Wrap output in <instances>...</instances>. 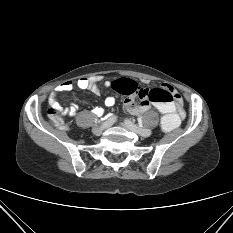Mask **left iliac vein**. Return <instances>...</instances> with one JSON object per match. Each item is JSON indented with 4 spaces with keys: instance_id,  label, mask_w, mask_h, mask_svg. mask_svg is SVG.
Here are the masks:
<instances>
[{
    "instance_id": "4c4485c4",
    "label": "left iliac vein",
    "mask_w": 233,
    "mask_h": 233,
    "mask_svg": "<svg viewBox=\"0 0 233 233\" xmlns=\"http://www.w3.org/2000/svg\"><path fill=\"white\" fill-rule=\"evenodd\" d=\"M121 125L126 128L127 130L134 132L140 136H142V134L140 133V128H138L136 125H134L131 121L129 120H125L123 123H121ZM146 137V136H145Z\"/></svg>"
}]
</instances>
